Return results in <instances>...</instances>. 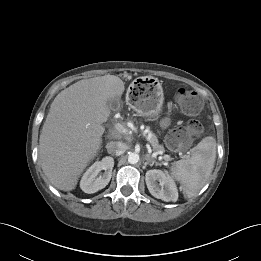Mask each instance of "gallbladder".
Wrapping results in <instances>:
<instances>
[{
  "mask_svg": "<svg viewBox=\"0 0 261 261\" xmlns=\"http://www.w3.org/2000/svg\"><path fill=\"white\" fill-rule=\"evenodd\" d=\"M119 105V100L118 99H110L108 100L107 102V106L110 108V109H115L117 108Z\"/></svg>",
  "mask_w": 261,
  "mask_h": 261,
  "instance_id": "bac80fb5",
  "label": "gallbladder"
}]
</instances>
